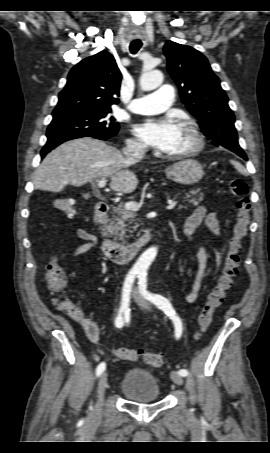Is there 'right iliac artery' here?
<instances>
[{
    "instance_id": "right-iliac-artery-1",
    "label": "right iliac artery",
    "mask_w": 270,
    "mask_h": 453,
    "mask_svg": "<svg viewBox=\"0 0 270 453\" xmlns=\"http://www.w3.org/2000/svg\"><path fill=\"white\" fill-rule=\"evenodd\" d=\"M136 275L137 272H130L125 279L122 292V304L119 310V314L115 320V326L117 328H122L124 325L122 314L123 313L126 314L129 312L130 292ZM105 368H106L105 362H101L96 369V375L100 376L105 370Z\"/></svg>"
}]
</instances>
